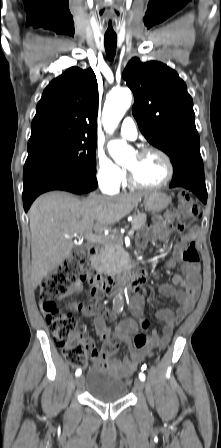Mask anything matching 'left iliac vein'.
I'll return each mask as SVG.
<instances>
[{
  "instance_id": "1",
  "label": "left iliac vein",
  "mask_w": 221,
  "mask_h": 448,
  "mask_svg": "<svg viewBox=\"0 0 221 448\" xmlns=\"http://www.w3.org/2000/svg\"><path fill=\"white\" fill-rule=\"evenodd\" d=\"M135 389L139 390V391L143 390L144 389V382L142 380H140V379H136L135 380Z\"/></svg>"
}]
</instances>
